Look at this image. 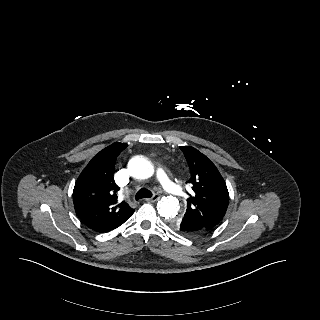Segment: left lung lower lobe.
<instances>
[{"label": "left lung lower lobe", "instance_id": "obj_1", "mask_svg": "<svg viewBox=\"0 0 320 320\" xmlns=\"http://www.w3.org/2000/svg\"><path fill=\"white\" fill-rule=\"evenodd\" d=\"M171 228L176 232H179L187 236H196L198 234L209 231L205 227H200L194 220L190 218H182L179 220L178 228H174L171 224Z\"/></svg>", "mask_w": 320, "mask_h": 320}]
</instances>
